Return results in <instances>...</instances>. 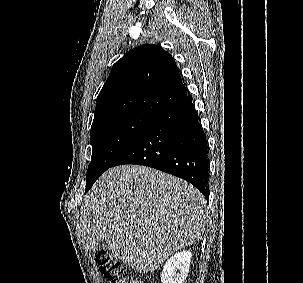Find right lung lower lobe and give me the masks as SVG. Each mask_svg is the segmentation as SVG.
<instances>
[{
  "mask_svg": "<svg viewBox=\"0 0 303 283\" xmlns=\"http://www.w3.org/2000/svg\"><path fill=\"white\" fill-rule=\"evenodd\" d=\"M122 164L149 166L185 179L208 200L207 140L191 98L156 115L111 167Z\"/></svg>",
  "mask_w": 303,
  "mask_h": 283,
  "instance_id": "98d812e1",
  "label": "right lung lower lobe"
}]
</instances>
